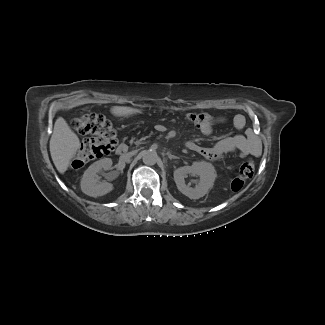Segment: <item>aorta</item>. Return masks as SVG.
I'll return each instance as SVG.
<instances>
[{"instance_id": "1", "label": "aorta", "mask_w": 325, "mask_h": 325, "mask_svg": "<svg viewBox=\"0 0 325 325\" xmlns=\"http://www.w3.org/2000/svg\"><path fill=\"white\" fill-rule=\"evenodd\" d=\"M141 155L143 163L146 165H154L158 160V155L155 150H144Z\"/></svg>"}]
</instances>
